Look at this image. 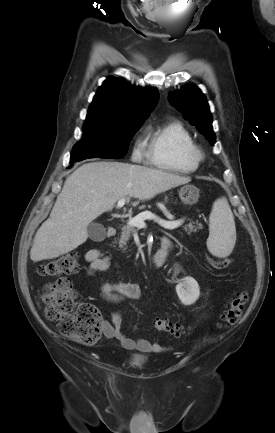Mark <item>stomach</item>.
Instances as JSON below:
<instances>
[{
	"mask_svg": "<svg viewBox=\"0 0 275 433\" xmlns=\"http://www.w3.org/2000/svg\"><path fill=\"white\" fill-rule=\"evenodd\" d=\"M179 197L186 205H193L199 199V189L194 185H185L179 190Z\"/></svg>",
	"mask_w": 275,
	"mask_h": 433,
	"instance_id": "1",
	"label": "stomach"
}]
</instances>
